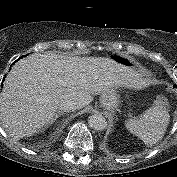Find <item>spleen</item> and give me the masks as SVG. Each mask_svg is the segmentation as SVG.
I'll use <instances>...</instances> for the list:
<instances>
[{
  "label": "spleen",
  "instance_id": "3e777b00",
  "mask_svg": "<svg viewBox=\"0 0 177 177\" xmlns=\"http://www.w3.org/2000/svg\"><path fill=\"white\" fill-rule=\"evenodd\" d=\"M167 103L165 97L157 96L154 106L145 110L140 118L125 122L126 128L146 145L156 144L163 138L170 120Z\"/></svg>",
  "mask_w": 177,
  "mask_h": 177
}]
</instances>
